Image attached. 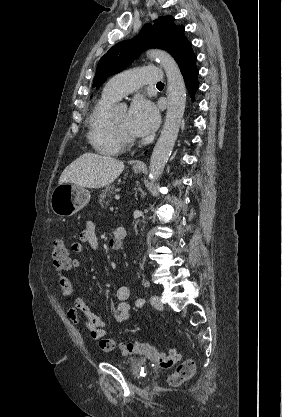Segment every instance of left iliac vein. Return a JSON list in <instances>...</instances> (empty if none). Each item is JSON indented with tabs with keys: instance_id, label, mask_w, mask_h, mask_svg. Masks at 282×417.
Here are the masks:
<instances>
[{
	"instance_id": "4c4485c4",
	"label": "left iliac vein",
	"mask_w": 282,
	"mask_h": 417,
	"mask_svg": "<svg viewBox=\"0 0 282 417\" xmlns=\"http://www.w3.org/2000/svg\"><path fill=\"white\" fill-rule=\"evenodd\" d=\"M150 302H151V305L154 308H156L158 310H162L163 309V304H162L160 298L157 295L151 296Z\"/></svg>"
}]
</instances>
